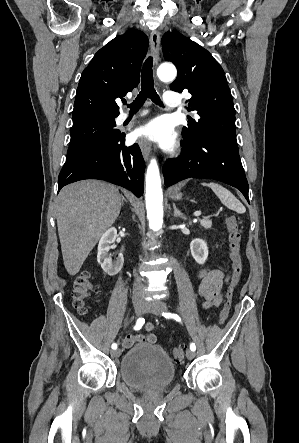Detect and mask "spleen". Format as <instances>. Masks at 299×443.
Instances as JSON below:
<instances>
[{"label":"spleen","mask_w":299,"mask_h":443,"mask_svg":"<svg viewBox=\"0 0 299 443\" xmlns=\"http://www.w3.org/2000/svg\"><path fill=\"white\" fill-rule=\"evenodd\" d=\"M203 186H208L212 189V191L218 196L221 203L225 205L227 208L239 213L243 214L246 212V208L243 204L226 188L223 186L210 182V183H202Z\"/></svg>","instance_id":"spleen-1"}]
</instances>
